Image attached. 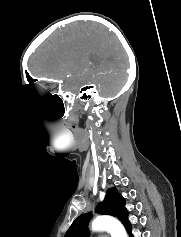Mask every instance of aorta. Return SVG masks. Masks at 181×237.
I'll list each match as a JSON object with an SVG mask.
<instances>
[{
  "instance_id": "1",
  "label": "aorta",
  "mask_w": 181,
  "mask_h": 237,
  "mask_svg": "<svg viewBox=\"0 0 181 237\" xmlns=\"http://www.w3.org/2000/svg\"><path fill=\"white\" fill-rule=\"evenodd\" d=\"M93 231H108L111 237H128L122 224L111 216H98L92 222Z\"/></svg>"
}]
</instances>
